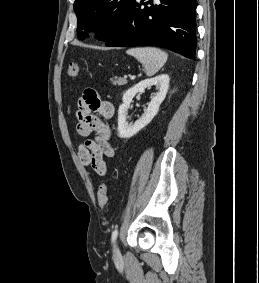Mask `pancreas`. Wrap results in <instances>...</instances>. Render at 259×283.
Wrapping results in <instances>:
<instances>
[{
  "mask_svg": "<svg viewBox=\"0 0 259 283\" xmlns=\"http://www.w3.org/2000/svg\"><path fill=\"white\" fill-rule=\"evenodd\" d=\"M111 82H112V84H114V85L121 86V85L127 84L128 81H127L125 78L113 77V78H111Z\"/></svg>",
  "mask_w": 259,
  "mask_h": 283,
  "instance_id": "obj_1",
  "label": "pancreas"
}]
</instances>
